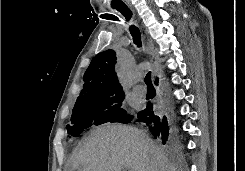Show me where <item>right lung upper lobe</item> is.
I'll return each instance as SVG.
<instances>
[{
	"label": "right lung upper lobe",
	"instance_id": "obj_1",
	"mask_svg": "<svg viewBox=\"0 0 245 171\" xmlns=\"http://www.w3.org/2000/svg\"><path fill=\"white\" fill-rule=\"evenodd\" d=\"M115 63L114 50H106L97 54L84 74L85 84L77 101L123 93L114 70Z\"/></svg>",
	"mask_w": 245,
	"mask_h": 171
}]
</instances>
